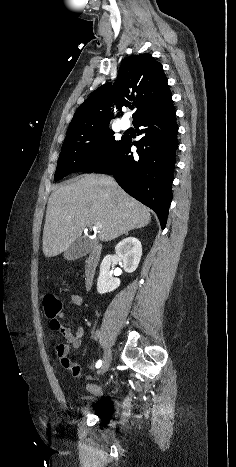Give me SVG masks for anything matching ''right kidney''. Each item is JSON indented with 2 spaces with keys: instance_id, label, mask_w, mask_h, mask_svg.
Masks as SVG:
<instances>
[{
  "instance_id": "ca27d5eb",
  "label": "right kidney",
  "mask_w": 236,
  "mask_h": 467,
  "mask_svg": "<svg viewBox=\"0 0 236 467\" xmlns=\"http://www.w3.org/2000/svg\"><path fill=\"white\" fill-rule=\"evenodd\" d=\"M117 258L122 261V267L127 273L134 272L142 256L141 242L135 237H128L117 244L115 247ZM112 256L106 255L100 265V274L97 280V291L100 294L111 292L120 286V279L113 277L110 272ZM120 270L114 272L119 276Z\"/></svg>"
}]
</instances>
